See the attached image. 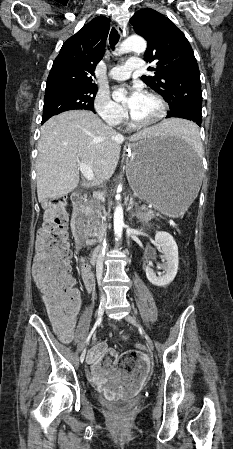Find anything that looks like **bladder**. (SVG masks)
<instances>
[{
  "mask_svg": "<svg viewBox=\"0 0 233 449\" xmlns=\"http://www.w3.org/2000/svg\"><path fill=\"white\" fill-rule=\"evenodd\" d=\"M138 401L139 397H135L132 399H123V400H109V401L102 400V404L112 409L123 410L133 407L138 403Z\"/></svg>",
  "mask_w": 233,
  "mask_h": 449,
  "instance_id": "bladder-1",
  "label": "bladder"
}]
</instances>
